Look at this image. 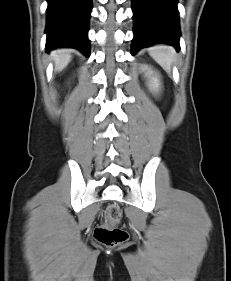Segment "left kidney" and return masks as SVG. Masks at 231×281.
Returning <instances> with one entry per match:
<instances>
[{
  "label": "left kidney",
  "mask_w": 231,
  "mask_h": 281,
  "mask_svg": "<svg viewBox=\"0 0 231 281\" xmlns=\"http://www.w3.org/2000/svg\"><path fill=\"white\" fill-rule=\"evenodd\" d=\"M146 75L149 78L148 86H149L150 90L153 92L159 91V88H160L159 76H157L156 74L154 75L153 71H148L146 73Z\"/></svg>",
  "instance_id": "1"
}]
</instances>
